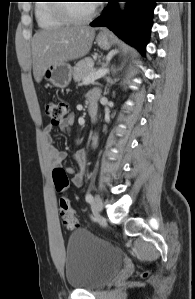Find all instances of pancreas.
I'll list each match as a JSON object with an SVG mask.
<instances>
[{"mask_svg": "<svg viewBox=\"0 0 195 299\" xmlns=\"http://www.w3.org/2000/svg\"><path fill=\"white\" fill-rule=\"evenodd\" d=\"M94 60L90 57L82 59L79 61L73 69V78L75 81H83L91 73L95 72Z\"/></svg>", "mask_w": 195, "mask_h": 299, "instance_id": "cf45deb5", "label": "pancreas"}]
</instances>
